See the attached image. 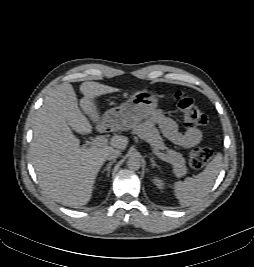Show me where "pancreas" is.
I'll return each instance as SVG.
<instances>
[{
	"label": "pancreas",
	"mask_w": 254,
	"mask_h": 267,
	"mask_svg": "<svg viewBox=\"0 0 254 267\" xmlns=\"http://www.w3.org/2000/svg\"><path fill=\"white\" fill-rule=\"evenodd\" d=\"M133 133L138 135L141 139L148 142L154 150H166L165 154L168 158L167 162L173 165L174 173L177 177H182L187 173L186 161L182 154L171 149H167L164 142L158 132L150 123H143L135 126Z\"/></svg>",
	"instance_id": "pancreas-1"
}]
</instances>
